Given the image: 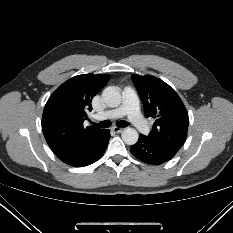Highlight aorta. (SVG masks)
<instances>
[{
  "label": "aorta",
  "mask_w": 233,
  "mask_h": 233,
  "mask_svg": "<svg viewBox=\"0 0 233 233\" xmlns=\"http://www.w3.org/2000/svg\"><path fill=\"white\" fill-rule=\"evenodd\" d=\"M102 98L108 107L114 108L121 104V94L117 87L109 86L102 92ZM139 138L138 132L133 128H126L122 132V139L127 145H134Z\"/></svg>",
  "instance_id": "obj_1"
}]
</instances>
